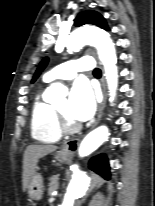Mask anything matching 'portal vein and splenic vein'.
I'll return each mask as SVG.
<instances>
[{
	"instance_id": "portal-vein-and-splenic-vein-1",
	"label": "portal vein and splenic vein",
	"mask_w": 155,
	"mask_h": 206,
	"mask_svg": "<svg viewBox=\"0 0 155 206\" xmlns=\"http://www.w3.org/2000/svg\"><path fill=\"white\" fill-rule=\"evenodd\" d=\"M53 201H55V197H54V196H52V197L49 199V202H53Z\"/></svg>"
}]
</instances>
